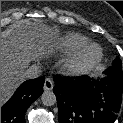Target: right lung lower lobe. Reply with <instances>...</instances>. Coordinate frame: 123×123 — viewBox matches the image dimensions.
Returning <instances> with one entry per match:
<instances>
[{"label":"right lung lower lobe","mask_w":123,"mask_h":123,"mask_svg":"<svg viewBox=\"0 0 123 123\" xmlns=\"http://www.w3.org/2000/svg\"><path fill=\"white\" fill-rule=\"evenodd\" d=\"M45 77L25 81L1 107V123H25L27 108L42 94Z\"/></svg>","instance_id":"98d812e1"}]
</instances>
